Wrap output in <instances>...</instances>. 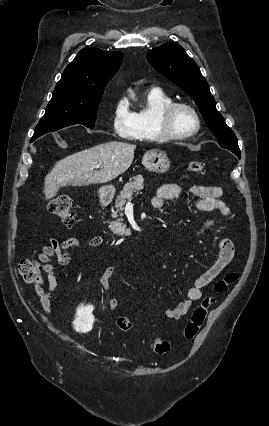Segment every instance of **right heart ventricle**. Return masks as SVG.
Listing matches in <instances>:
<instances>
[{"instance_id": "e07e8e85", "label": "right heart ventricle", "mask_w": 269, "mask_h": 426, "mask_svg": "<svg viewBox=\"0 0 269 426\" xmlns=\"http://www.w3.org/2000/svg\"><path fill=\"white\" fill-rule=\"evenodd\" d=\"M171 102L173 99L161 90L147 92L146 106L135 112L137 140L153 142L164 139L157 128V117L161 109Z\"/></svg>"}]
</instances>
